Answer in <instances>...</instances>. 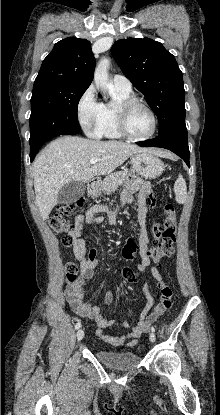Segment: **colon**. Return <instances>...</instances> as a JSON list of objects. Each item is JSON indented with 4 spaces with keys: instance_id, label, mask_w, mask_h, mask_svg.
<instances>
[{
    "instance_id": "obj_1",
    "label": "colon",
    "mask_w": 220,
    "mask_h": 415,
    "mask_svg": "<svg viewBox=\"0 0 220 415\" xmlns=\"http://www.w3.org/2000/svg\"><path fill=\"white\" fill-rule=\"evenodd\" d=\"M156 200V195L150 193L149 201L151 204H154ZM83 205L82 200H77L73 203L64 204L58 207L57 211L50 217L49 219V226L56 234H63L64 238L62 243L66 247H71L73 243V239L70 236V231L72 230V222L68 218V215L77 207H81ZM152 234L155 238V244L149 249L148 254L150 258L159 263L161 260L168 258L173 253V244L176 238V231H177V216L172 204H168L164 208V219L161 224H153L152 225ZM123 257L127 260H133L136 258L137 254V244L134 239H127L123 249H122ZM77 265L75 263H69L66 266V281L68 283H73L76 279L77 275ZM122 277L125 282L132 283L136 278L135 271L130 268L126 267L122 271ZM157 286L160 291V300L157 306L155 307V311L158 314H163L168 311L172 306V296L173 292L169 285H167L163 280L162 277L159 278L157 281Z\"/></svg>"
}]
</instances>
